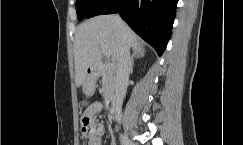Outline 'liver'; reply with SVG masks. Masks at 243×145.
<instances>
[{"mask_svg": "<svg viewBox=\"0 0 243 145\" xmlns=\"http://www.w3.org/2000/svg\"><path fill=\"white\" fill-rule=\"evenodd\" d=\"M124 41L133 49L142 46L135 33L123 21L120 23L116 15L96 16L79 25L74 41L76 86L84 83L89 68L96 69L100 65V45L117 61Z\"/></svg>", "mask_w": 243, "mask_h": 145, "instance_id": "1", "label": "liver"}]
</instances>
